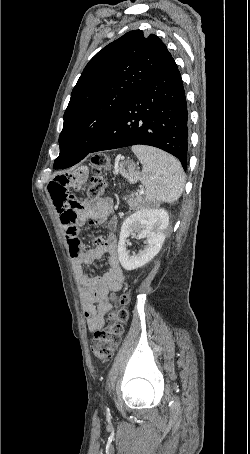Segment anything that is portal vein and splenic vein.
Listing matches in <instances>:
<instances>
[{
    "label": "portal vein and splenic vein",
    "mask_w": 250,
    "mask_h": 454,
    "mask_svg": "<svg viewBox=\"0 0 250 454\" xmlns=\"http://www.w3.org/2000/svg\"><path fill=\"white\" fill-rule=\"evenodd\" d=\"M143 191H144V189H143V188H141L139 192H140V193H143Z\"/></svg>",
    "instance_id": "18ae733b"
}]
</instances>
